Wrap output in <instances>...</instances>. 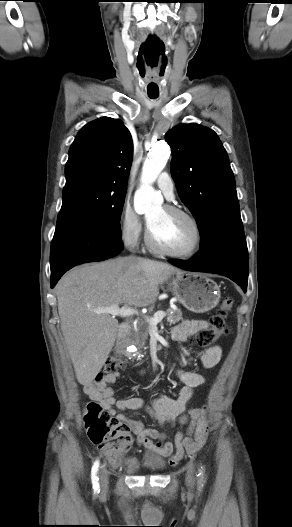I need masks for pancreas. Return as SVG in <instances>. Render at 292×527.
<instances>
[{
	"label": "pancreas",
	"instance_id": "cf45deb5",
	"mask_svg": "<svg viewBox=\"0 0 292 527\" xmlns=\"http://www.w3.org/2000/svg\"><path fill=\"white\" fill-rule=\"evenodd\" d=\"M167 316V322L169 324H175L182 320V312L179 309L169 308L165 312ZM150 331V325L147 320H140L136 324V329L129 334V341L136 345H144Z\"/></svg>",
	"mask_w": 292,
	"mask_h": 527
}]
</instances>
